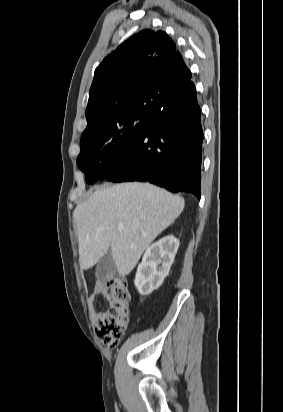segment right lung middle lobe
Returning <instances> with one entry per match:
<instances>
[{"instance_id":"dd1d6c3e","label":"right lung middle lobe","mask_w":283,"mask_h":412,"mask_svg":"<svg viewBox=\"0 0 283 412\" xmlns=\"http://www.w3.org/2000/svg\"><path fill=\"white\" fill-rule=\"evenodd\" d=\"M162 105L160 101L153 100L133 105L81 137L77 164L88 184L97 181L107 167L128 152L149 118Z\"/></svg>"}]
</instances>
